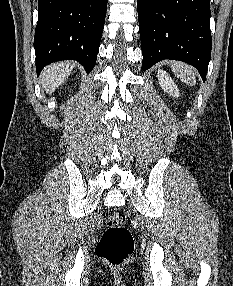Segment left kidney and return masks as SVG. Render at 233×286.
Segmentation results:
<instances>
[{"mask_svg": "<svg viewBox=\"0 0 233 286\" xmlns=\"http://www.w3.org/2000/svg\"><path fill=\"white\" fill-rule=\"evenodd\" d=\"M159 84L161 88L167 92L170 96L178 97L179 89L175 85L171 77L166 73V71L158 70Z\"/></svg>", "mask_w": 233, "mask_h": 286, "instance_id": "5707ae66", "label": "left kidney"}]
</instances>
